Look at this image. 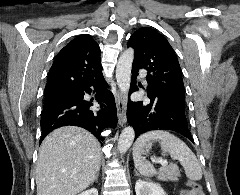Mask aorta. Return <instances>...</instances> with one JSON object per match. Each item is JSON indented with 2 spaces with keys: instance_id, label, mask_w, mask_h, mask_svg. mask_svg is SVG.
I'll list each match as a JSON object with an SVG mask.
<instances>
[{
  "instance_id": "1",
  "label": "aorta",
  "mask_w": 240,
  "mask_h": 195,
  "mask_svg": "<svg viewBox=\"0 0 240 195\" xmlns=\"http://www.w3.org/2000/svg\"><path fill=\"white\" fill-rule=\"evenodd\" d=\"M134 60L133 48H128L123 54H121L117 68H116V80L122 94H128L131 82V68ZM135 131L131 125L124 127L120 133L118 139V151L119 153H125L129 147H131L134 139Z\"/></svg>"
}]
</instances>
